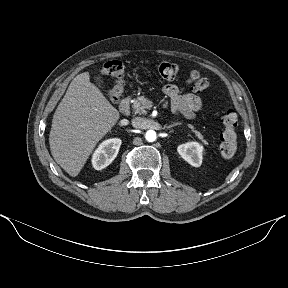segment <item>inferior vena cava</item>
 <instances>
[{"mask_svg": "<svg viewBox=\"0 0 288 288\" xmlns=\"http://www.w3.org/2000/svg\"><path fill=\"white\" fill-rule=\"evenodd\" d=\"M132 125L135 128H144V129H159L161 127V122L159 120H149L141 117H135L132 120Z\"/></svg>", "mask_w": 288, "mask_h": 288, "instance_id": "inferior-vena-cava-1", "label": "inferior vena cava"}]
</instances>
